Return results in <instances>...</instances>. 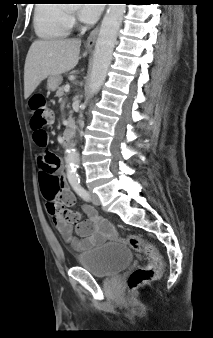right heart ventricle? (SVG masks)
<instances>
[{"label": "right heart ventricle", "mask_w": 213, "mask_h": 338, "mask_svg": "<svg viewBox=\"0 0 213 338\" xmlns=\"http://www.w3.org/2000/svg\"><path fill=\"white\" fill-rule=\"evenodd\" d=\"M64 7L57 4H37L34 14L36 34L43 39H63L69 34Z\"/></svg>", "instance_id": "1"}]
</instances>
